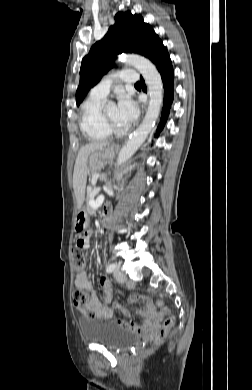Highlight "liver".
<instances>
[{
    "label": "liver",
    "instance_id": "1",
    "mask_svg": "<svg viewBox=\"0 0 252 390\" xmlns=\"http://www.w3.org/2000/svg\"><path fill=\"white\" fill-rule=\"evenodd\" d=\"M107 146H109L108 142H91L81 147L78 152L73 173V188L79 205L82 204L85 195L88 174V157L91 153L102 150Z\"/></svg>",
    "mask_w": 252,
    "mask_h": 390
}]
</instances>
